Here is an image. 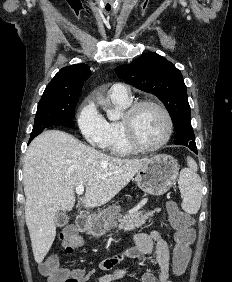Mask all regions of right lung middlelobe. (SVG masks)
Listing matches in <instances>:
<instances>
[{
    "instance_id": "1",
    "label": "right lung middle lobe",
    "mask_w": 232,
    "mask_h": 282,
    "mask_svg": "<svg viewBox=\"0 0 232 282\" xmlns=\"http://www.w3.org/2000/svg\"><path fill=\"white\" fill-rule=\"evenodd\" d=\"M79 94L71 96L41 97L31 133L30 141L39 135L45 128L62 125L74 128L73 118Z\"/></svg>"
}]
</instances>
